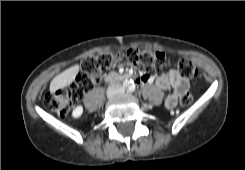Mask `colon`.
<instances>
[{
	"label": "colon",
	"instance_id": "colon-1",
	"mask_svg": "<svg viewBox=\"0 0 245 170\" xmlns=\"http://www.w3.org/2000/svg\"><path fill=\"white\" fill-rule=\"evenodd\" d=\"M120 63L130 67L156 70L168 64V57L164 52L137 48H130L125 54L101 53L88 56L83 60L81 72L75 82L69 87L47 92L43 97L44 106L59 115L67 114L72 105L99 82L103 70ZM178 71L185 78H195L198 74L197 69L188 59L179 61ZM192 99L191 94L185 93L180 97V103L187 106L191 104Z\"/></svg>",
	"mask_w": 245,
	"mask_h": 170
}]
</instances>
